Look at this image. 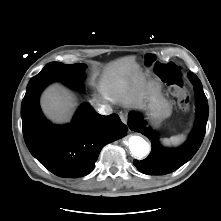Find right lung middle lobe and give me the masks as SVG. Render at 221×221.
Masks as SVG:
<instances>
[{
	"label": "right lung middle lobe",
	"mask_w": 221,
	"mask_h": 221,
	"mask_svg": "<svg viewBox=\"0 0 221 221\" xmlns=\"http://www.w3.org/2000/svg\"><path fill=\"white\" fill-rule=\"evenodd\" d=\"M84 64H62L60 62L48 63L42 71L36 75L40 77H50L66 82H81L84 79Z\"/></svg>",
	"instance_id": "dd1d6c3e"
}]
</instances>
